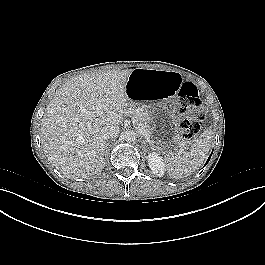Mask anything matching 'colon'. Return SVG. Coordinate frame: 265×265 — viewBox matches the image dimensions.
Here are the masks:
<instances>
[{
    "label": "colon",
    "mask_w": 265,
    "mask_h": 265,
    "mask_svg": "<svg viewBox=\"0 0 265 265\" xmlns=\"http://www.w3.org/2000/svg\"><path fill=\"white\" fill-rule=\"evenodd\" d=\"M178 111L187 114L181 121L180 128L184 138H194L201 129L203 113L199 110L201 104L196 87L188 82H183L179 88Z\"/></svg>",
    "instance_id": "obj_1"
}]
</instances>
